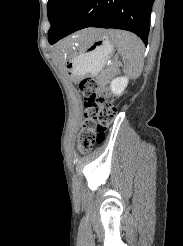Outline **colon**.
<instances>
[{"label": "colon", "instance_id": "colon-1", "mask_svg": "<svg viewBox=\"0 0 183 246\" xmlns=\"http://www.w3.org/2000/svg\"><path fill=\"white\" fill-rule=\"evenodd\" d=\"M83 99V122L78 140V149L87 153L91 147L104 139L105 131L116 117L110 93L94 78L80 82Z\"/></svg>", "mask_w": 183, "mask_h": 246}]
</instances>
